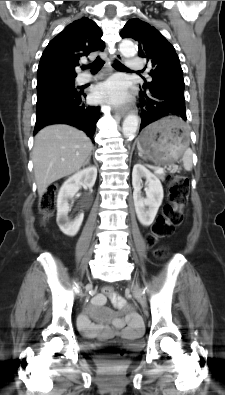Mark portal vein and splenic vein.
<instances>
[{"label": "portal vein and splenic vein", "instance_id": "obj_1", "mask_svg": "<svg viewBox=\"0 0 225 395\" xmlns=\"http://www.w3.org/2000/svg\"><path fill=\"white\" fill-rule=\"evenodd\" d=\"M162 172H163V168H161V167H157L155 169V173H162Z\"/></svg>", "mask_w": 225, "mask_h": 395}]
</instances>
